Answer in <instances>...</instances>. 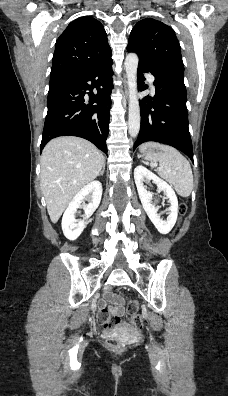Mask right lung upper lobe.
<instances>
[{
  "mask_svg": "<svg viewBox=\"0 0 228 396\" xmlns=\"http://www.w3.org/2000/svg\"><path fill=\"white\" fill-rule=\"evenodd\" d=\"M111 55L102 24L89 16L80 17L56 41L50 79L89 71L110 60Z\"/></svg>",
  "mask_w": 228,
  "mask_h": 396,
  "instance_id": "right-lung-upper-lobe-1",
  "label": "right lung upper lobe"
}]
</instances>
